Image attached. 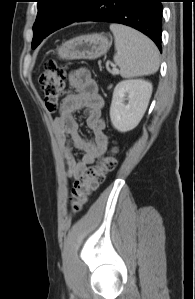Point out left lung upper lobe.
Here are the masks:
<instances>
[{
	"mask_svg": "<svg viewBox=\"0 0 195 299\" xmlns=\"http://www.w3.org/2000/svg\"><path fill=\"white\" fill-rule=\"evenodd\" d=\"M90 0H37L38 14L33 25L32 48L54 31L76 22Z\"/></svg>",
	"mask_w": 195,
	"mask_h": 299,
	"instance_id": "left-lung-upper-lobe-1",
	"label": "left lung upper lobe"
}]
</instances>
